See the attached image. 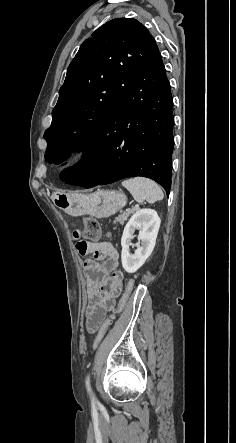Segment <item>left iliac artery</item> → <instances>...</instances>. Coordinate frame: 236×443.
Wrapping results in <instances>:
<instances>
[{
  "instance_id": "44dca946",
  "label": "left iliac artery",
  "mask_w": 236,
  "mask_h": 443,
  "mask_svg": "<svg viewBox=\"0 0 236 443\" xmlns=\"http://www.w3.org/2000/svg\"><path fill=\"white\" fill-rule=\"evenodd\" d=\"M86 388H87L88 393L91 396V400L94 402L95 401V396L93 395V392H92V389H91V386H90V377H89V375L87 376V379H86Z\"/></svg>"
}]
</instances>
